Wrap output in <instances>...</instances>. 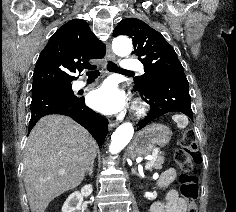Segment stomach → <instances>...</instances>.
<instances>
[{
  "instance_id": "obj_1",
  "label": "stomach",
  "mask_w": 236,
  "mask_h": 212,
  "mask_svg": "<svg viewBox=\"0 0 236 212\" xmlns=\"http://www.w3.org/2000/svg\"><path fill=\"white\" fill-rule=\"evenodd\" d=\"M171 137L172 131L166 125L151 124L136 134L128 154L132 158L148 155L156 146H166Z\"/></svg>"
}]
</instances>
